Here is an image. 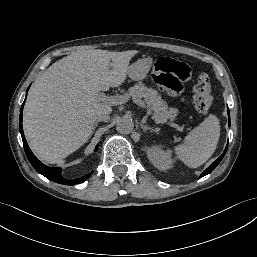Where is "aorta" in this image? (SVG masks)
<instances>
[{
    "mask_svg": "<svg viewBox=\"0 0 257 257\" xmlns=\"http://www.w3.org/2000/svg\"><path fill=\"white\" fill-rule=\"evenodd\" d=\"M134 124L130 118H122L116 124V129L122 134H129L133 130Z\"/></svg>",
    "mask_w": 257,
    "mask_h": 257,
    "instance_id": "1",
    "label": "aorta"
}]
</instances>
